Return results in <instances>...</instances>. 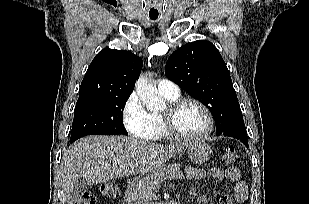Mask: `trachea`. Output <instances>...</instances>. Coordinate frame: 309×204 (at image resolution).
<instances>
[{"label":"trachea","instance_id":"1","mask_svg":"<svg viewBox=\"0 0 309 204\" xmlns=\"http://www.w3.org/2000/svg\"><path fill=\"white\" fill-rule=\"evenodd\" d=\"M151 19L155 20V19H157V18H155V17H151Z\"/></svg>","mask_w":309,"mask_h":204}]
</instances>
